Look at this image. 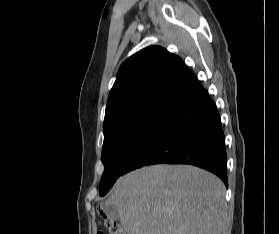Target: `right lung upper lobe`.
<instances>
[{
    "label": "right lung upper lobe",
    "mask_w": 279,
    "mask_h": 234,
    "mask_svg": "<svg viewBox=\"0 0 279 234\" xmlns=\"http://www.w3.org/2000/svg\"><path fill=\"white\" fill-rule=\"evenodd\" d=\"M197 81L181 58L159 46L147 47L121 65L108 97L104 122L150 105L170 107Z\"/></svg>",
    "instance_id": "right-lung-upper-lobe-1"
}]
</instances>
